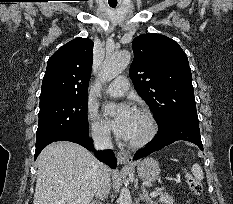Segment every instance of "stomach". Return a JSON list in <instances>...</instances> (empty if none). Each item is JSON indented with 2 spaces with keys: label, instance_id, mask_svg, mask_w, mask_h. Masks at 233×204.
<instances>
[{
  "label": "stomach",
  "instance_id": "0dacf381",
  "mask_svg": "<svg viewBox=\"0 0 233 204\" xmlns=\"http://www.w3.org/2000/svg\"><path fill=\"white\" fill-rule=\"evenodd\" d=\"M137 172L143 181L153 182L160 175L159 164L153 158H146L137 164Z\"/></svg>",
  "mask_w": 233,
  "mask_h": 204
}]
</instances>
